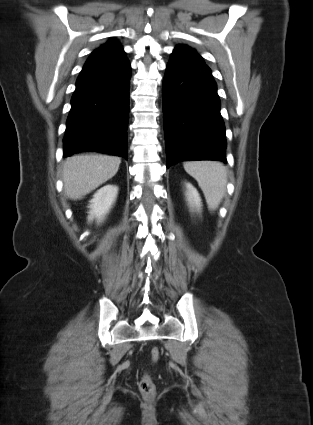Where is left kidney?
<instances>
[{"mask_svg": "<svg viewBox=\"0 0 313 425\" xmlns=\"http://www.w3.org/2000/svg\"><path fill=\"white\" fill-rule=\"evenodd\" d=\"M185 186H186L185 195H186V198H187V201H188V204H189L191 210L195 209L196 211L200 212L202 202H201V198H200L198 191L190 183H185Z\"/></svg>", "mask_w": 313, "mask_h": 425, "instance_id": "1", "label": "left kidney"}]
</instances>
